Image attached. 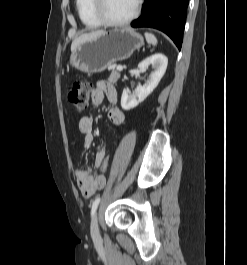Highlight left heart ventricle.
<instances>
[{"label": "left heart ventricle", "instance_id": "1", "mask_svg": "<svg viewBox=\"0 0 247 265\" xmlns=\"http://www.w3.org/2000/svg\"><path fill=\"white\" fill-rule=\"evenodd\" d=\"M137 0H106L105 12L113 20H123L131 15Z\"/></svg>", "mask_w": 247, "mask_h": 265}]
</instances>
